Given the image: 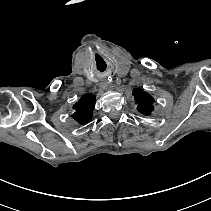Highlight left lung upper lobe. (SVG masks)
I'll use <instances>...</instances> for the list:
<instances>
[{
  "instance_id": "obj_1",
  "label": "left lung upper lobe",
  "mask_w": 211,
  "mask_h": 211,
  "mask_svg": "<svg viewBox=\"0 0 211 211\" xmlns=\"http://www.w3.org/2000/svg\"><path fill=\"white\" fill-rule=\"evenodd\" d=\"M133 96L137 104V110L144 115H150L154 110V98L140 88L134 89Z\"/></svg>"
}]
</instances>
